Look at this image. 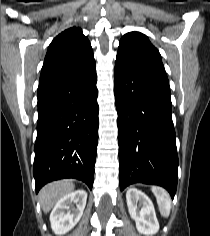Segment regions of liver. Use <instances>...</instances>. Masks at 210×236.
Instances as JSON below:
<instances>
[{"label": "liver", "mask_w": 210, "mask_h": 236, "mask_svg": "<svg viewBox=\"0 0 210 236\" xmlns=\"http://www.w3.org/2000/svg\"><path fill=\"white\" fill-rule=\"evenodd\" d=\"M75 186L71 180H60L45 185L39 193V200L44 213H48L65 195L73 192Z\"/></svg>", "instance_id": "liver-1"}]
</instances>
